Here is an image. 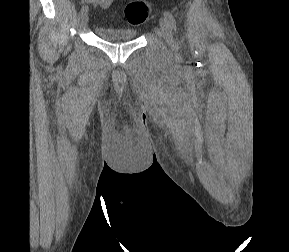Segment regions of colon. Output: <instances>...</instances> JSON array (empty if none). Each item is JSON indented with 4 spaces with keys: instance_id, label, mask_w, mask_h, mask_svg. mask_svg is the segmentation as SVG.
<instances>
[{
    "instance_id": "colon-1",
    "label": "colon",
    "mask_w": 289,
    "mask_h": 252,
    "mask_svg": "<svg viewBox=\"0 0 289 252\" xmlns=\"http://www.w3.org/2000/svg\"><path fill=\"white\" fill-rule=\"evenodd\" d=\"M151 14L152 7L150 3L145 0H134L123 9L122 18L125 23L138 26L146 22Z\"/></svg>"
}]
</instances>
